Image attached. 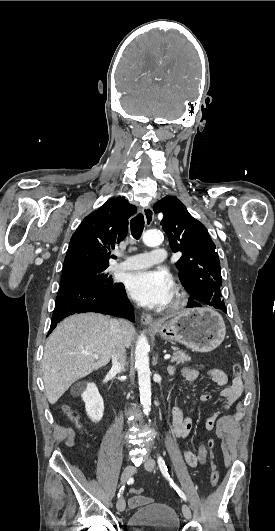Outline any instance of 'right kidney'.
I'll return each mask as SVG.
<instances>
[{
	"mask_svg": "<svg viewBox=\"0 0 275 531\" xmlns=\"http://www.w3.org/2000/svg\"><path fill=\"white\" fill-rule=\"evenodd\" d=\"M71 395H75V397L81 395L82 401L85 403L86 413L93 423L101 421L104 413V403L95 383L80 381V383L73 385Z\"/></svg>",
	"mask_w": 275,
	"mask_h": 531,
	"instance_id": "ca27d5eb",
	"label": "right kidney"
}]
</instances>
